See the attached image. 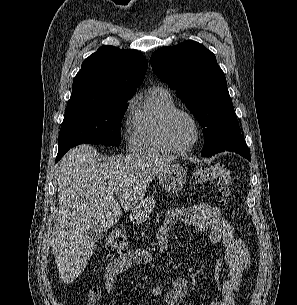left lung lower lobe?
<instances>
[{
  "label": "left lung lower lobe",
  "instance_id": "obj_1",
  "mask_svg": "<svg viewBox=\"0 0 297 305\" xmlns=\"http://www.w3.org/2000/svg\"><path fill=\"white\" fill-rule=\"evenodd\" d=\"M233 152L238 153L241 156H243L244 158H246L249 161H251V156H250L249 150H246V151H233Z\"/></svg>",
  "mask_w": 297,
  "mask_h": 305
}]
</instances>
